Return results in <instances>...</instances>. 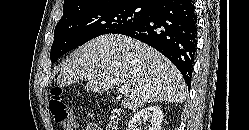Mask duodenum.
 I'll use <instances>...</instances> for the list:
<instances>
[{
	"label": "duodenum",
	"mask_w": 249,
	"mask_h": 130,
	"mask_svg": "<svg viewBox=\"0 0 249 130\" xmlns=\"http://www.w3.org/2000/svg\"><path fill=\"white\" fill-rule=\"evenodd\" d=\"M119 124V113L115 110L110 116L108 124L106 126V130H118Z\"/></svg>",
	"instance_id": "410a0bca"
}]
</instances>
